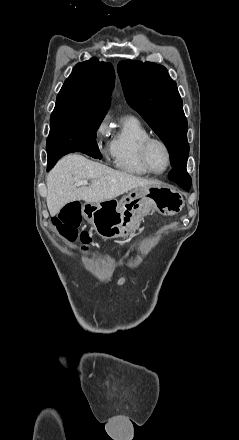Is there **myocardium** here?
I'll list each match as a JSON object with an SVG mask.
<instances>
[{
  "label": "myocardium",
  "mask_w": 239,
  "mask_h": 440,
  "mask_svg": "<svg viewBox=\"0 0 239 440\" xmlns=\"http://www.w3.org/2000/svg\"><path fill=\"white\" fill-rule=\"evenodd\" d=\"M153 144H160L165 149L166 154H167V167L165 168V170H163L161 172L155 171L152 168L151 163H150L149 151H150V148ZM140 158H141L142 164L144 165L146 170L150 174L156 175V176L163 175V174L167 173L171 167V164H172L171 149H170L169 145L167 144V142L159 137L150 136L142 141V143L140 145Z\"/></svg>",
  "instance_id": "obj_1"
}]
</instances>
